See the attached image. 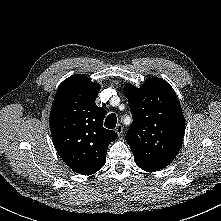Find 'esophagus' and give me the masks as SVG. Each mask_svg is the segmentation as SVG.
<instances>
[{
  "label": "esophagus",
  "mask_w": 221,
  "mask_h": 221,
  "mask_svg": "<svg viewBox=\"0 0 221 221\" xmlns=\"http://www.w3.org/2000/svg\"><path fill=\"white\" fill-rule=\"evenodd\" d=\"M115 132L117 133L118 136H121L123 133V126L121 124L117 125L115 128Z\"/></svg>",
  "instance_id": "34e87169"
}]
</instances>
